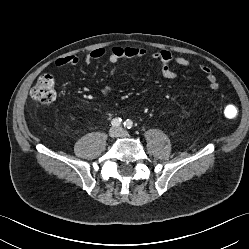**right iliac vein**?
Instances as JSON below:
<instances>
[{"label": "right iliac vein", "mask_w": 249, "mask_h": 249, "mask_svg": "<svg viewBox=\"0 0 249 249\" xmlns=\"http://www.w3.org/2000/svg\"><path fill=\"white\" fill-rule=\"evenodd\" d=\"M119 134V130L117 128H111L109 130L110 137L114 138Z\"/></svg>", "instance_id": "obj_1"}]
</instances>
